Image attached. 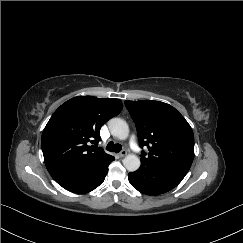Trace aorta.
Masks as SVG:
<instances>
[{"instance_id": "obj_1", "label": "aorta", "mask_w": 243, "mask_h": 243, "mask_svg": "<svg viewBox=\"0 0 243 243\" xmlns=\"http://www.w3.org/2000/svg\"><path fill=\"white\" fill-rule=\"evenodd\" d=\"M108 127L111 134L120 140L126 139L129 135L128 124L121 118L110 119ZM123 165L129 172L137 171L140 167V159L134 154H129L124 158Z\"/></svg>"}]
</instances>
